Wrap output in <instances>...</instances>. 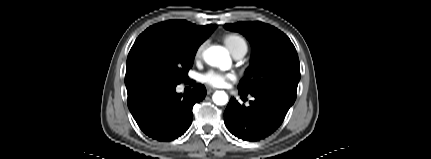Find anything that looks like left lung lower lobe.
Masks as SVG:
<instances>
[{"mask_svg": "<svg viewBox=\"0 0 431 159\" xmlns=\"http://www.w3.org/2000/svg\"><path fill=\"white\" fill-rule=\"evenodd\" d=\"M250 94L255 100L250 101L247 107L240 105L235 98L230 99L224 112V122L233 135L254 142L264 139L278 129L296 97L276 89Z\"/></svg>", "mask_w": 431, "mask_h": 159, "instance_id": "1", "label": "left lung lower lobe"}]
</instances>
